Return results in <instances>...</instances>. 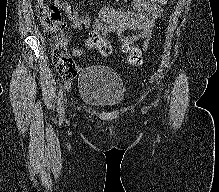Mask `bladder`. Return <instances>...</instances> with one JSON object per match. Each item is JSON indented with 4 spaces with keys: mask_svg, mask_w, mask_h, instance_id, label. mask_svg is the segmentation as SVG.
Masks as SVG:
<instances>
[{
    "mask_svg": "<svg viewBox=\"0 0 219 192\" xmlns=\"http://www.w3.org/2000/svg\"><path fill=\"white\" fill-rule=\"evenodd\" d=\"M78 83L79 98L101 108L119 106L126 92L120 75L101 65L84 67L79 73Z\"/></svg>",
    "mask_w": 219,
    "mask_h": 192,
    "instance_id": "1",
    "label": "bladder"
}]
</instances>
